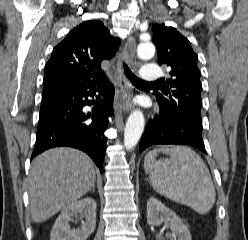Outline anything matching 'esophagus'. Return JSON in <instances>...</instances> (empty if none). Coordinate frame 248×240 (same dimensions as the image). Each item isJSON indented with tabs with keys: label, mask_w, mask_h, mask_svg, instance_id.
<instances>
[{
	"label": "esophagus",
	"mask_w": 248,
	"mask_h": 240,
	"mask_svg": "<svg viewBox=\"0 0 248 240\" xmlns=\"http://www.w3.org/2000/svg\"><path fill=\"white\" fill-rule=\"evenodd\" d=\"M136 51V41L129 36L125 42L122 55L118 61L117 82L118 89L114 100L115 111L129 112L132 109V88L124 74V61L132 64Z\"/></svg>",
	"instance_id": "esophagus-1"
}]
</instances>
